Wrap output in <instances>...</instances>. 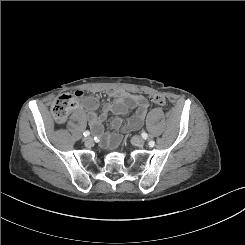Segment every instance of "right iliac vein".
Returning <instances> with one entry per match:
<instances>
[{
	"label": "right iliac vein",
	"mask_w": 245,
	"mask_h": 245,
	"mask_svg": "<svg viewBox=\"0 0 245 245\" xmlns=\"http://www.w3.org/2000/svg\"><path fill=\"white\" fill-rule=\"evenodd\" d=\"M83 141H84L86 144H91L93 140H92L91 137H85V138H83Z\"/></svg>",
	"instance_id": "obj_1"
}]
</instances>
